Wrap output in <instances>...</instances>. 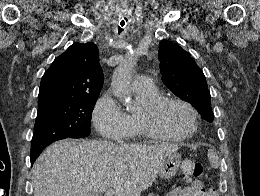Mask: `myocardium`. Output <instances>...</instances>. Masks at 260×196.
I'll use <instances>...</instances> for the list:
<instances>
[{"label":"myocardium","instance_id":"myocardium-1","mask_svg":"<svg viewBox=\"0 0 260 196\" xmlns=\"http://www.w3.org/2000/svg\"><path fill=\"white\" fill-rule=\"evenodd\" d=\"M180 104L186 107L194 117V127L182 136L167 135L156 126L157 116L170 104ZM138 122L143 131L161 141H170L176 143H184L189 141L195 135L200 127V115L196 108L189 102L179 97H161L151 103L145 104L141 112L138 113ZM96 192H101L97 190Z\"/></svg>","mask_w":260,"mask_h":196}]
</instances>
